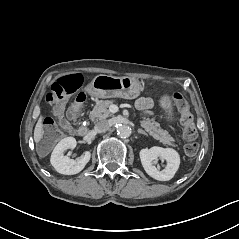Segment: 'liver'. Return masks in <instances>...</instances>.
<instances>
[{
	"instance_id": "liver-1",
	"label": "liver",
	"mask_w": 239,
	"mask_h": 239,
	"mask_svg": "<svg viewBox=\"0 0 239 239\" xmlns=\"http://www.w3.org/2000/svg\"><path fill=\"white\" fill-rule=\"evenodd\" d=\"M43 137V124H42V117L38 119V122L34 129V141L38 143Z\"/></svg>"
}]
</instances>
